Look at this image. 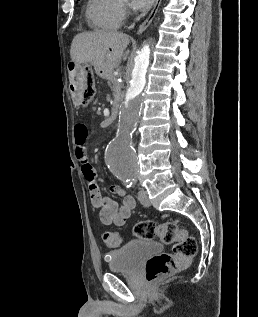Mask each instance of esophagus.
Segmentation results:
<instances>
[{"mask_svg": "<svg viewBox=\"0 0 258 317\" xmlns=\"http://www.w3.org/2000/svg\"><path fill=\"white\" fill-rule=\"evenodd\" d=\"M160 2H161V0H155V4H154V7L152 9V12L146 18V20L140 25L138 32H137L138 34H141L142 32H144V30H146V28L151 24L154 16L156 15V12L159 8Z\"/></svg>", "mask_w": 258, "mask_h": 317, "instance_id": "obj_1", "label": "esophagus"}]
</instances>
